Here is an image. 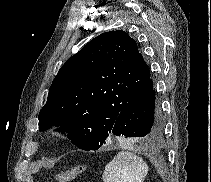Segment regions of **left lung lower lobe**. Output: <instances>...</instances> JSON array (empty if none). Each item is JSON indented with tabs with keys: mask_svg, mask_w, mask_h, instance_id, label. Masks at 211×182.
<instances>
[{
	"mask_svg": "<svg viewBox=\"0 0 211 182\" xmlns=\"http://www.w3.org/2000/svg\"><path fill=\"white\" fill-rule=\"evenodd\" d=\"M164 119L149 75L141 89L120 111L111 134L148 142L162 132Z\"/></svg>",
	"mask_w": 211,
	"mask_h": 182,
	"instance_id": "0a47b994",
	"label": "left lung lower lobe"
}]
</instances>
